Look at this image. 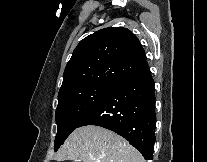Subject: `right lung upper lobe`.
Segmentation results:
<instances>
[{
    "instance_id": "obj_1",
    "label": "right lung upper lobe",
    "mask_w": 207,
    "mask_h": 162,
    "mask_svg": "<svg viewBox=\"0 0 207 162\" xmlns=\"http://www.w3.org/2000/svg\"><path fill=\"white\" fill-rule=\"evenodd\" d=\"M146 66L145 52L133 33L122 27L104 28L77 45L58 95L89 85H116Z\"/></svg>"
}]
</instances>
